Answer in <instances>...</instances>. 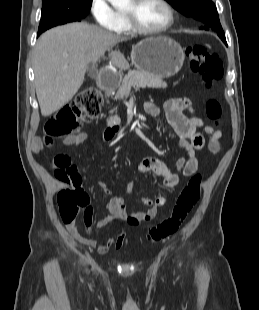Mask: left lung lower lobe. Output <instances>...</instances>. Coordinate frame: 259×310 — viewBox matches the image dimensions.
I'll return each instance as SVG.
<instances>
[{"label": "left lung lower lobe", "instance_id": "0a47b994", "mask_svg": "<svg viewBox=\"0 0 259 310\" xmlns=\"http://www.w3.org/2000/svg\"><path fill=\"white\" fill-rule=\"evenodd\" d=\"M221 40L227 45L225 36H219Z\"/></svg>", "mask_w": 259, "mask_h": 310}]
</instances>
